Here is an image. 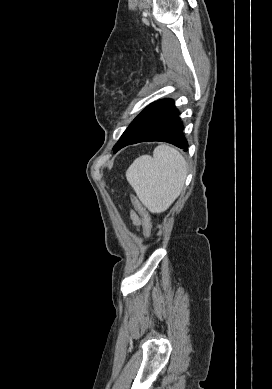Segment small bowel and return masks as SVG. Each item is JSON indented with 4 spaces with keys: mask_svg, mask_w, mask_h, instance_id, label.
I'll return each mask as SVG.
<instances>
[{
    "mask_svg": "<svg viewBox=\"0 0 272 389\" xmlns=\"http://www.w3.org/2000/svg\"><path fill=\"white\" fill-rule=\"evenodd\" d=\"M131 218H132V220H133V223H134L137 227H139V226L141 225V219H140V217H139L136 213H132V214H131Z\"/></svg>",
    "mask_w": 272,
    "mask_h": 389,
    "instance_id": "1",
    "label": "small bowel"
}]
</instances>
